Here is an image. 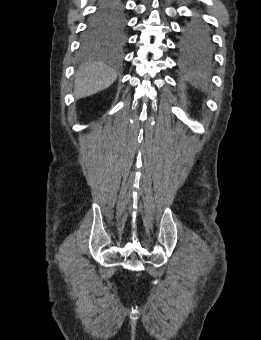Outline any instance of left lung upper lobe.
Here are the masks:
<instances>
[{
	"mask_svg": "<svg viewBox=\"0 0 261 340\" xmlns=\"http://www.w3.org/2000/svg\"><path fill=\"white\" fill-rule=\"evenodd\" d=\"M182 47L186 51L203 55L212 53L210 32L201 19L195 18L185 27Z\"/></svg>",
	"mask_w": 261,
	"mask_h": 340,
	"instance_id": "left-lung-upper-lobe-1",
	"label": "left lung upper lobe"
}]
</instances>
